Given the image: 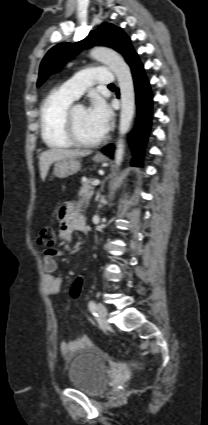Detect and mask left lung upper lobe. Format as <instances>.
I'll return each instance as SVG.
<instances>
[{
  "mask_svg": "<svg viewBox=\"0 0 208 425\" xmlns=\"http://www.w3.org/2000/svg\"><path fill=\"white\" fill-rule=\"evenodd\" d=\"M94 45L113 48L123 55L129 65L138 58L129 37L122 29L110 23H103L97 30L90 32L80 42L73 45L60 43L51 48L40 64L37 86H40L52 72L59 70V67L64 65L74 54H77L83 48H89Z\"/></svg>",
  "mask_w": 208,
  "mask_h": 425,
  "instance_id": "1",
  "label": "left lung upper lobe"
}]
</instances>
